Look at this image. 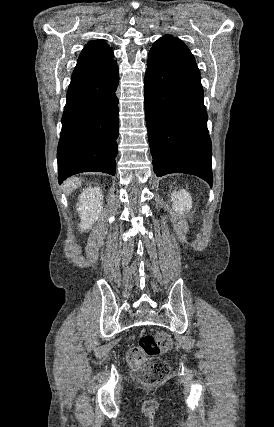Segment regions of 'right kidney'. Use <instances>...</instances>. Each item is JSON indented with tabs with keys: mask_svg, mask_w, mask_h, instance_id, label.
Returning <instances> with one entry per match:
<instances>
[{
	"mask_svg": "<svg viewBox=\"0 0 274 427\" xmlns=\"http://www.w3.org/2000/svg\"><path fill=\"white\" fill-rule=\"evenodd\" d=\"M78 200L77 212H79L81 219L79 227L81 231H88L102 212L103 194L100 188L89 186L81 192Z\"/></svg>",
	"mask_w": 274,
	"mask_h": 427,
	"instance_id": "right-kidney-1",
	"label": "right kidney"
}]
</instances>
